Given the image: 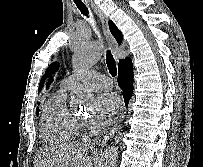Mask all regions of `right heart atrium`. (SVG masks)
I'll return each mask as SVG.
<instances>
[{
  "label": "right heart atrium",
  "instance_id": "d8ad5b80",
  "mask_svg": "<svg viewBox=\"0 0 203 167\" xmlns=\"http://www.w3.org/2000/svg\"><path fill=\"white\" fill-rule=\"evenodd\" d=\"M83 125H84L85 127H89V126H90V124H89L88 122H84Z\"/></svg>",
  "mask_w": 203,
  "mask_h": 167
}]
</instances>
